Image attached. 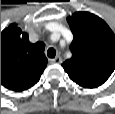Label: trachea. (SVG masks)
<instances>
[{"label": "trachea", "mask_w": 115, "mask_h": 114, "mask_svg": "<svg viewBox=\"0 0 115 114\" xmlns=\"http://www.w3.org/2000/svg\"><path fill=\"white\" fill-rule=\"evenodd\" d=\"M47 56L49 58H54L56 56V50L54 48H49L47 51Z\"/></svg>", "instance_id": "3493384b"}]
</instances>
